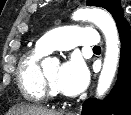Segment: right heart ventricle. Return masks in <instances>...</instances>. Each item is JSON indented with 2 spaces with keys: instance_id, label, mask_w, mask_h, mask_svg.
I'll list each match as a JSON object with an SVG mask.
<instances>
[{
  "instance_id": "e07e8e85",
  "label": "right heart ventricle",
  "mask_w": 131,
  "mask_h": 115,
  "mask_svg": "<svg viewBox=\"0 0 131 115\" xmlns=\"http://www.w3.org/2000/svg\"><path fill=\"white\" fill-rule=\"evenodd\" d=\"M47 54L37 45L27 51L19 60L17 84L23 98L30 102H41L45 98L42 87L40 60Z\"/></svg>"
}]
</instances>
